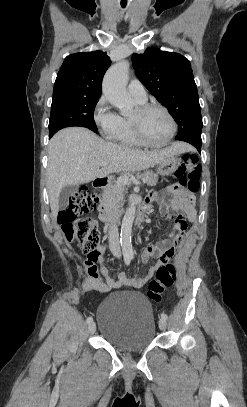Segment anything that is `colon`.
<instances>
[{
    "label": "colon",
    "instance_id": "1",
    "mask_svg": "<svg viewBox=\"0 0 247 407\" xmlns=\"http://www.w3.org/2000/svg\"><path fill=\"white\" fill-rule=\"evenodd\" d=\"M201 166L196 154H185L183 163L175 173L182 189L191 194L199 190ZM98 202V195L90 193L86 188H81L72 195L67 208L60 212L58 223L66 239L77 242L81 250L88 257L94 256L100 241L98 224L86 215L92 211ZM176 281V269L172 264L161 266L157 269L155 278L148 284V297L158 302L164 291Z\"/></svg>",
    "mask_w": 247,
    "mask_h": 407
}]
</instances>
